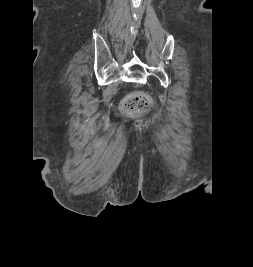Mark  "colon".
I'll return each mask as SVG.
<instances>
[{
  "label": "colon",
  "mask_w": 253,
  "mask_h": 267,
  "mask_svg": "<svg viewBox=\"0 0 253 267\" xmlns=\"http://www.w3.org/2000/svg\"><path fill=\"white\" fill-rule=\"evenodd\" d=\"M151 98L144 92H134L126 96L121 103V108L128 115H137L150 109Z\"/></svg>",
  "instance_id": "colon-1"
}]
</instances>
